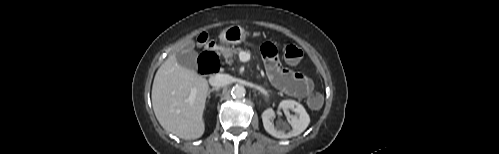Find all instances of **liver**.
<instances>
[{"mask_svg":"<svg viewBox=\"0 0 499 154\" xmlns=\"http://www.w3.org/2000/svg\"><path fill=\"white\" fill-rule=\"evenodd\" d=\"M196 90L193 103L188 98ZM208 82L194 70L180 66L176 54L157 70L152 86V106L160 125L185 140L200 138L205 131L203 112Z\"/></svg>","mask_w":499,"mask_h":154,"instance_id":"obj_1","label":"liver"}]
</instances>
